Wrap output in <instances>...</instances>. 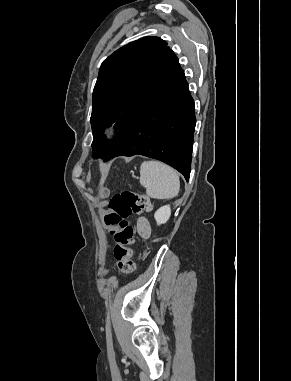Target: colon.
<instances>
[{"mask_svg": "<svg viewBox=\"0 0 291 381\" xmlns=\"http://www.w3.org/2000/svg\"><path fill=\"white\" fill-rule=\"evenodd\" d=\"M150 210V199L137 191L124 190L111 199L110 212L104 221L115 243L114 256L117 269L123 274H130L135 269L131 248L135 243V230L127 219L133 214L147 213ZM106 272L107 270L104 271Z\"/></svg>", "mask_w": 291, "mask_h": 381, "instance_id": "obj_1", "label": "colon"}]
</instances>
